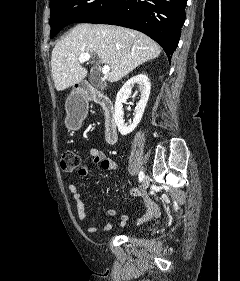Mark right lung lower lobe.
I'll list each match as a JSON object with an SVG mask.
<instances>
[{
	"label": "right lung lower lobe",
	"instance_id": "obj_1",
	"mask_svg": "<svg viewBox=\"0 0 240 281\" xmlns=\"http://www.w3.org/2000/svg\"><path fill=\"white\" fill-rule=\"evenodd\" d=\"M187 0H118L95 24L141 31L158 42L170 60L178 46Z\"/></svg>",
	"mask_w": 240,
	"mask_h": 281
}]
</instances>
